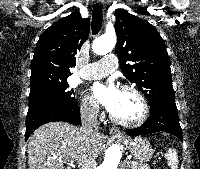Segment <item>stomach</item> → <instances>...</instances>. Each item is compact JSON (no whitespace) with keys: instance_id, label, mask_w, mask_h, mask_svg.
Listing matches in <instances>:
<instances>
[{"instance_id":"1","label":"stomach","mask_w":200,"mask_h":169,"mask_svg":"<svg viewBox=\"0 0 200 169\" xmlns=\"http://www.w3.org/2000/svg\"><path fill=\"white\" fill-rule=\"evenodd\" d=\"M127 147L130 153L139 162L149 161L154 153L149 141L143 137L129 139L127 141Z\"/></svg>"}]
</instances>
